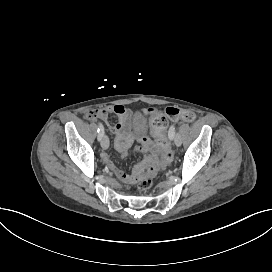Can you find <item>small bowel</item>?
Returning a JSON list of instances; mask_svg holds the SVG:
<instances>
[{"label": "small bowel", "mask_w": 272, "mask_h": 272, "mask_svg": "<svg viewBox=\"0 0 272 272\" xmlns=\"http://www.w3.org/2000/svg\"><path fill=\"white\" fill-rule=\"evenodd\" d=\"M109 113H114L117 117L115 123H110L107 118H103L105 124L108 126L114 139V147L116 151L125 157L129 154L130 145L134 140L141 142L142 147L139 152L144 156L143 160L136 163L131 174H128L117 167V165L110 159L107 154H103L102 158L105 167L115 174L117 177L118 171L124 172L123 178H118L124 184L134 185L143 175L148 165L154 164L159 158V152L156 143L147 135L142 133H134L130 130L129 121L131 118V111L122 105H115L108 108Z\"/></svg>", "instance_id": "obj_1"}]
</instances>
